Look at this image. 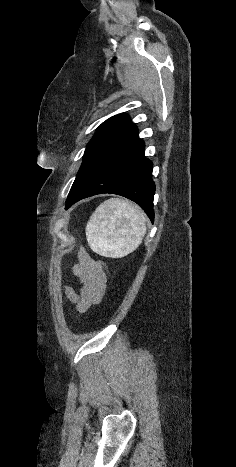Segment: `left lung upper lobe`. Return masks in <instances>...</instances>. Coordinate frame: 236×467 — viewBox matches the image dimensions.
<instances>
[{
	"label": "left lung upper lobe",
	"mask_w": 236,
	"mask_h": 467,
	"mask_svg": "<svg viewBox=\"0 0 236 467\" xmlns=\"http://www.w3.org/2000/svg\"><path fill=\"white\" fill-rule=\"evenodd\" d=\"M133 126L135 125L130 121L127 114H119L109 118L98 127L97 132L86 147L82 165L68 198L74 195L87 180L107 149Z\"/></svg>",
	"instance_id": "obj_1"
}]
</instances>
